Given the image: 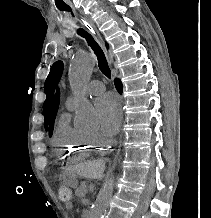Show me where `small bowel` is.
I'll return each instance as SVG.
<instances>
[{"label": "small bowel", "instance_id": "1", "mask_svg": "<svg viewBox=\"0 0 211 218\" xmlns=\"http://www.w3.org/2000/svg\"><path fill=\"white\" fill-rule=\"evenodd\" d=\"M72 206H73V204H72L71 201L66 203V207H67L68 209L72 208Z\"/></svg>", "mask_w": 211, "mask_h": 218}]
</instances>
